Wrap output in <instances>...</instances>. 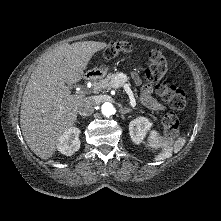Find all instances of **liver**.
<instances>
[{
  "label": "liver",
  "mask_w": 221,
  "mask_h": 221,
  "mask_svg": "<svg viewBox=\"0 0 221 221\" xmlns=\"http://www.w3.org/2000/svg\"><path fill=\"white\" fill-rule=\"evenodd\" d=\"M105 42L62 44L42 55L26 85L20 111V126L29 148L48 159L60 137L77 119L83 95H71L65 84L79 82L93 55Z\"/></svg>",
  "instance_id": "obj_1"
}]
</instances>
